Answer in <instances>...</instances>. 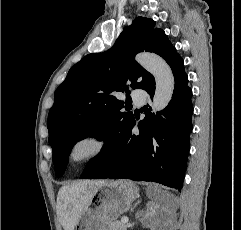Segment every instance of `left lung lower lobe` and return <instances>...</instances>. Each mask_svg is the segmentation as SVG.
Returning a JSON list of instances; mask_svg holds the SVG:
<instances>
[{"mask_svg": "<svg viewBox=\"0 0 241 230\" xmlns=\"http://www.w3.org/2000/svg\"><path fill=\"white\" fill-rule=\"evenodd\" d=\"M175 88L168 106L159 113L146 110L138 123L139 134L132 133L135 119L101 153L90 160L81 178H127L153 181L181 190L192 132V90L184 61L177 54L169 63ZM145 91L153 98L155 82Z\"/></svg>", "mask_w": 241, "mask_h": 230, "instance_id": "0a47b994", "label": "left lung lower lobe"}]
</instances>
